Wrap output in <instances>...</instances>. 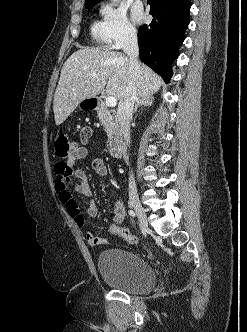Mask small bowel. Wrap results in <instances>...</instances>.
I'll return each instance as SVG.
<instances>
[{
  "instance_id": "obj_1",
  "label": "small bowel",
  "mask_w": 247,
  "mask_h": 332,
  "mask_svg": "<svg viewBox=\"0 0 247 332\" xmlns=\"http://www.w3.org/2000/svg\"><path fill=\"white\" fill-rule=\"evenodd\" d=\"M91 130L89 128H83L81 131L82 146L78 147L73 156H71L66 162H59L55 166L56 179L55 190L58 194L60 202L66 207L69 215L74 219L75 223L79 227H85L87 221L85 216L80 211L77 200L73 197L69 187L74 180V189L76 192L85 196H92V192L89 187L88 175L86 172L78 168V161L89 157L90 150L87 147L89 139L91 137ZM91 169L99 176L108 179V169L99 156H92L90 159ZM114 211V224H120L126 215L125 205L122 199L117 198L112 202ZM85 213L88 217H96L98 214V207L94 200H90ZM86 240L92 246L107 244V239L98 237L92 232H86Z\"/></svg>"
}]
</instances>
